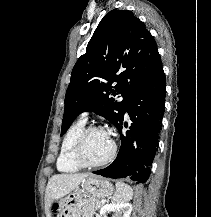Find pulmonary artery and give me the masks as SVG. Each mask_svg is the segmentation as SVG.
<instances>
[{"label": "pulmonary artery", "instance_id": "pulmonary-artery-1", "mask_svg": "<svg viewBox=\"0 0 211 217\" xmlns=\"http://www.w3.org/2000/svg\"><path fill=\"white\" fill-rule=\"evenodd\" d=\"M87 116H88V114L86 112L81 114V118L85 121L87 120Z\"/></svg>", "mask_w": 211, "mask_h": 217}]
</instances>
